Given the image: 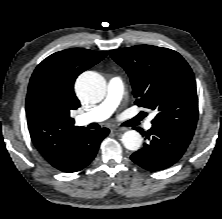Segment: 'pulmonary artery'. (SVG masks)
<instances>
[{
    "instance_id": "pulmonary-artery-1",
    "label": "pulmonary artery",
    "mask_w": 222,
    "mask_h": 219,
    "mask_svg": "<svg viewBox=\"0 0 222 219\" xmlns=\"http://www.w3.org/2000/svg\"><path fill=\"white\" fill-rule=\"evenodd\" d=\"M124 90L121 77H113L108 82L107 95L105 100L90 111L78 115L75 120L79 125L98 123L108 119L119 105ZM151 122L145 124L146 129H150Z\"/></svg>"
}]
</instances>
